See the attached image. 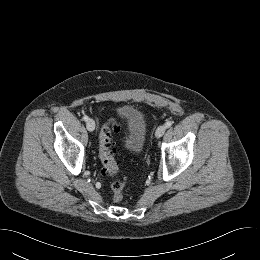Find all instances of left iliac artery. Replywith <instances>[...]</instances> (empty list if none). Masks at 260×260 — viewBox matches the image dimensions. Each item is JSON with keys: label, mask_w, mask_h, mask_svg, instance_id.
Here are the masks:
<instances>
[{"label": "left iliac artery", "mask_w": 260, "mask_h": 260, "mask_svg": "<svg viewBox=\"0 0 260 260\" xmlns=\"http://www.w3.org/2000/svg\"><path fill=\"white\" fill-rule=\"evenodd\" d=\"M165 126H166V128L171 127V126H172V122H171V121L166 122V123H165Z\"/></svg>", "instance_id": "left-iliac-artery-1"}]
</instances>
